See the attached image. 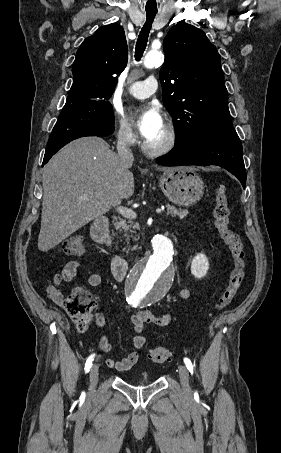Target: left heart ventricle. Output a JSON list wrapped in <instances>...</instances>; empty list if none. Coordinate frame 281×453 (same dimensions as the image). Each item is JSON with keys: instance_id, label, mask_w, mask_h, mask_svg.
Wrapping results in <instances>:
<instances>
[{"instance_id": "left-heart-ventricle-1", "label": "left heart ventricle", "mask_w": 281, "mask_h": 453, "mask_svg": "<svg viewBox=\"0 0 281 453\" xmlns=\"http://www.w3.org/2000/svg\"><path fill=\"white\" fill-rule=\"evenodd\" d=\"M146 140L154 146H160L166 143L167 132L164 127V124L160 128H158L154 133H152L149 137H147Z\"/></svg>"}]
</instances>
